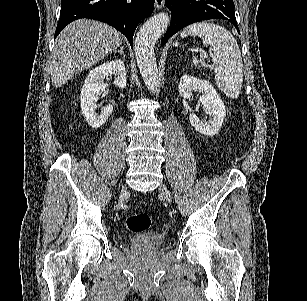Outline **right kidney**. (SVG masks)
<instances>
[{"label":"right kidney","mask_w":307,"mask_h":301,"mask_svg":"<svg viewBox=\"0 0 307 301\" xmlns=\"http://www.w3.org/2000/svg\"><path fill=\"white\" fill-rule=\"evenodd\" d=\"M114 76V84L124 88L127 84L126 68L123 60H109L95 66L87 74L81 88L80 100L82 114L92 128H100L113 112L112 104H107L101 112H96L99 94L108 86L104 78Z\"/></svg>","instance_id":"1"}]
</instances>
